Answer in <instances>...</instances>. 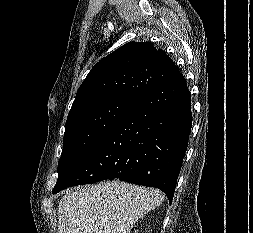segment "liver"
I'll return each instance as SVG.
<instances>
[{
	"instance_id": "1",
	"label": "liver",
	"mask_w": 253,
	"mask_h": 233,
	"mask_svg": "<svg viewBox=\"0 0 253 233\" xmlns=\"http://www.w3.org/2000/svg\"><path fill=\"white\" fill-rule=\"evenodd\" d=\"M163 200L159 190L122 181L69 191L59 201L58 233H130Z\"/></svg>"
}]
</instances>
